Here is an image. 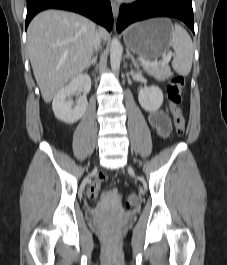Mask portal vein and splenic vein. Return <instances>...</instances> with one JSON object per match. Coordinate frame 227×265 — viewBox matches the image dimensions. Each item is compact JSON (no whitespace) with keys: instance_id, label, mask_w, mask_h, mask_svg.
I'll list each match as a JSON object with an SVG mask.
<instances>
[{"instance_id":"obj_1","label":"portal vein and splenic vein","mask_w":227,"mask_h":265,"mask_svg":"<svg viewBox=\"0 0 227 265\" xmlns=\"http://www.w3.org/2000/svg\"><path fill=\"white\" fill-rule=\"evenodd\" d=\"M171 57H172V53H167L164 55L163 60L160 63H158L157 61H152V62L143 61L141 62V64L145 67L165 65L169 63V61L171 60Z\"/></svg>"}]
</instances>
